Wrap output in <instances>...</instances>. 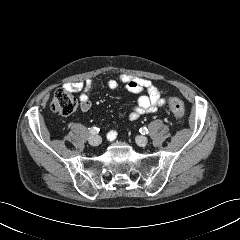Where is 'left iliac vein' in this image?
Here are the masks:
<instances>
[{"label": "left iliac vein", "instance_id": "4c4485c4", "mask_svg": "<svg viewBox=\"0 0 240 240\" xmlns=\"http://www.w3.org/2000/svg\"><path fill=\"white\" fill-rule=\"evenodd\" d=\"M147 142H148V138L145 136H137L136 137V143L141 147L145 146L147 144Z\"/></svg>", "mask_w": 240, "mask_h": 240}]
</instances>
